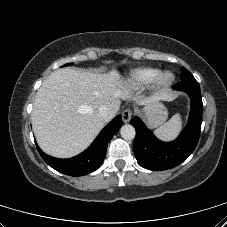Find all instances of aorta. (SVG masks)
Instances as JSON below:
<instances>
[{"label": "aorta", "instance_id": "1", "mask_svg": "<svg viewBox=\"0 0 227 227\" xmlns=\"http://www.w3.org/2000/svg\"><path fill=\"white\" fill-rule=\"evenodd\" d=\"M120 134L125 140H132L135 138V128L130 124H125L120 129Z\"/></svg>", "mask_w": 227, "mask_h": 227}]
</instances>
